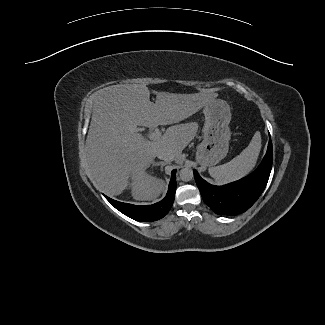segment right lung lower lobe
<instances>
[{
  "label": "right lung lower lobe",
  "instance_id": "right-lung-lower-lobe-1",
  "mask_svg": "<svg viewBox=\"0 0 325 325\" xmlns=\"http://www.w3.org/2000/svg\"><path fill=\"white\" fill-rule=\"evenodd\" d=\"M171 175L169 189L165 198L153 205L137 206L118 202L105 195L104 196L117 210L134 220L144 222L156 221L163 218L173 205L176 191V170H173Z\"/></svg>",
  "mask_w": 325,
  "mask_h": 325
}]
</instances>
